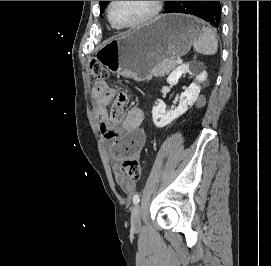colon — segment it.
Returning <instances> with one entry per match:
<instances>
[{
  "mask_svg": "<svg viewBox=\"0 0 271 266\" xmlns=\"http://www.w3.org/2000/svg\"><path fill=\"white\" fill-rule=\"evenodd\" d=\"M108 77L107 71L99 64L92 63L89 69V79L96 85H104ZM121 99L127 98V93L122 91L119 93ZM120 172L131 181H138L141 177L142 167L137 159H129L123 161L120 166Z\"/></svg>",
  "mask_w": 271,
  "mask_h": 266,
  "instance_id": "1",
  "label": "colon"
}]
</instances>
